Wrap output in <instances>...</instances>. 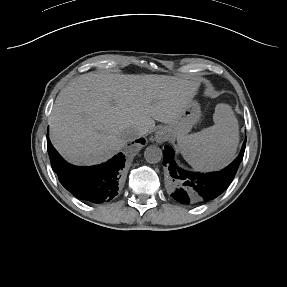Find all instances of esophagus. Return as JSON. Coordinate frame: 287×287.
I'll return each mask as SVG.
<instances>
[{
    "label": "esophagus",
    "instance_id": "obj_1",
    "mask_svg": "<svg viewBox=\"0 0 287 287\" xmlns=\"http://www.w3.org/2000/svg\"><path fill=\"white\" fill-rule=\"evenodd\" d=\"M156 141H157L158 143H162V142H163V136H162L161 133H157V135H156Z\"/></svg>",
    "mask_w": 287,
    "mask_h": 287
}]
</instances>
